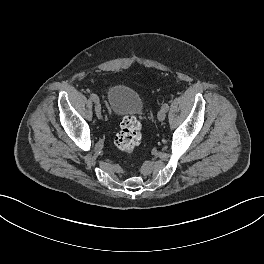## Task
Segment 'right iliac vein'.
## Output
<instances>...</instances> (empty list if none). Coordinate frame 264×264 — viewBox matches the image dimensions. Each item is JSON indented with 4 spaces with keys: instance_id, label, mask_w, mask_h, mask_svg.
I'll return each mask as SVG.
<instances>
[{
    "instance_id": "63e3f726",
    "label": "right iliac vein",
    "mask_w": 264,
    "mask_h": 264,
    "mask_svg": "<svg viewBox=\"0 0 264 264\" xmlns=\"http://www.w3.org/2000/svg\"><path fill=\"white\" fill-rule=\"evenodd\" d=\"M95 112L98 118H101V105L99 102H95Z\"/></svg>"
}]
</instances>
